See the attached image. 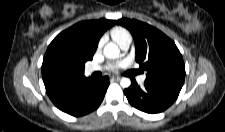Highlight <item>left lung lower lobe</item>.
<instances>
[{"label":"left lung lower lobe","mask_w":225,"mask_h":132,"mask_svg":"<svg viewBox=\"0 0 225 132\" xmlns=\"http://www.w3.org/2000/svg\"><path fill=\"white\" fill-rule=\"evenodd\" d=\"M181 84L164 83L145 80L140 87L135 79H131V86L124 90L129 103L146 113H159L171 106L177 99Z\"/></svg>","instance_id":"1"}]
</instances>
